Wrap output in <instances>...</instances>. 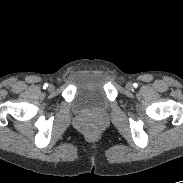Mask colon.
<instances>
[{
	"label": "colon",
	"instance_id": "colon-1",
	"mask_svg": "<svg viewBox=\"0 0 183 183\" xmlns=\"http://www.w3.org/2000/svg\"><path fill=\"white\" fill-rule=\"evenodd\" d=\"M84 130L88 135H94L97 132V125L93 120H86Z\"/></svg>",
	"mask_w": 183,
	"mask_h": 183
}]
</instances>
